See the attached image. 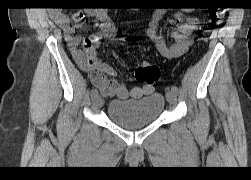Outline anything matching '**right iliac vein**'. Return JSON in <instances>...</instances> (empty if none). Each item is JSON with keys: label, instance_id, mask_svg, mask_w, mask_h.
Returning <instances> with one entry per match:
<instances>
[{"label": "right iliac vein", "instance_id": "obj_1", "mask_svg": "<svg viewBox=\"0 0 251 180\" xmlns=\"http://www.w3.org/2000/svg\"><path fill=\"white\" fill-rule=\"evenodd\" d=\"M92 102L95 108H100L103 105V99L99 95L93 97Z\"/></svg>", "mask_w": 251, "mask_h": 180}]
</instances>
